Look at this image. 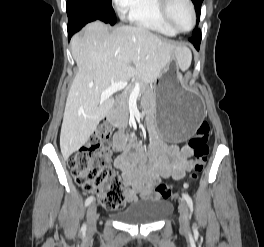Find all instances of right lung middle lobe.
Returning <instances> with one entry per match:
<instances>
[{
	"label": "right lung middle lobe",
	"mask_w": 264,
	"mask_h": 247,
	"mask_svg": "<svg viewBox=\"0 0 264 247\" xmlns=\"http://www.w3.org/2000/svg\"><path fill=\"white\" fill-rule=\"evenodd\" d=\"M66 11L68 17L85 14L111 25L116 21L111 0H67Z\"/></svg>",
	"instance_id": "1"
}]
</instances>
